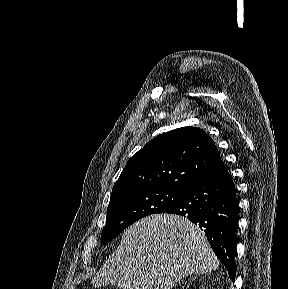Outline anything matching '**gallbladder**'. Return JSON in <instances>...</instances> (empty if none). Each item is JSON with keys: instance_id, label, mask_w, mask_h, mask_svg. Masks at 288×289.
Masks as SVG:
<instances>
[{"instance_id": "obj_1", "label": "gallbladder", "mask_w": 288, "mask_h": 289, "mask_svg": "<svg viewBox=\"0 0 288 289\" xmlns=\"http://www.w3.org/2000/svg\"><path fill=\"white\" fill-rule=\"evenodd\" d=\"M117 281H118V278H117V274H116L115 279L112 278V280H110L108 284L109 285H115L117 283Z\"/></svg>"}]
</instances>
